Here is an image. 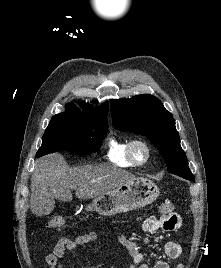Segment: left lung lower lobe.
Listing matches in <instances>:
<instances>
[{"label": "left lung lower lobe", "mask_w": 221, "mask_h": 268, "mask_svg": "<svg viewBox=\"0 0 221 268\" xmlns=\"http://www.w3.org/2000/svg\"><path fill=\"white\" fill-rule=\"evenodd\" d=\"M188 180L194 181V176H190L187 178Z\"/></svg>", "instance_id": "0a47b994"}]
</instances>
